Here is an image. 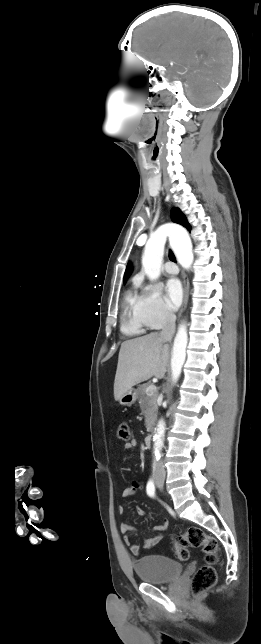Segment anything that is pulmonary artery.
<instances>
[{
  "mask_svg": "<svg viewBox=\"0 0 261 644\" xmlns=\"http://www.w3.org/2000/svg\"><path fill=\"white\" fill-rule=\"evenodd\" d=\"M164 269L168 274H177L179 271L177 265L173 262H166Z\"/></svg>",
  "mask_w": 261,
  "mask_h": 644,
  "instance_id": "pulmonary-artery-1",
  "label": "pulmonary artery"
}]
</instances>
